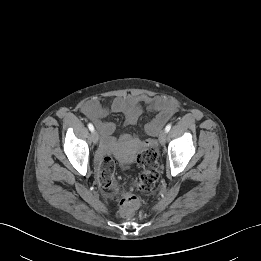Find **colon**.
Instances as JSON below:
<instances>
[{
	"instance_id": "colon-1",
	"label": "colon",
	"mask_w": 261,
	"mask_h": 261,
	"mask_svg": "<svg viewBox=\"0 0 261 261\" xmlns=\"http://www.w3.org/2000/svg\"><path fill=\"white\" fill-rule=\"evenodd\" d=\"M137 162L142 173L128 183H120L115 177V162L106 156L99 167V182L120 195V213L123 217H130L138 206L137 198L132 191L151 192L155 189L159 178V164L156 150L147 141L142 142V148L137 156Z\"/></svg>"
}]
</instances>
